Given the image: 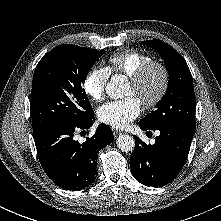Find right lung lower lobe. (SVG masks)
<instances>
[{
    "instance_id": "obj_1",
    "label": "right lung lower lobe",
    "mask_w": 221,
    "mask_h": 221,
    "mask_svg": "<svg viewBox=\"0 0 221 221\" xmlns=\"http://www.w3.org/2000/svg\"><path fill=\"white\" fill-rule=\"evenodd\" d=\"M93 120L94 115L74 124L55 123L33 133L44 171L63 189L79 191L91 185L98 174L97 152L113 142V132L105 124L83 143L74 139L75 132L89 129Z\"/></svg>"
}]
</instances>
